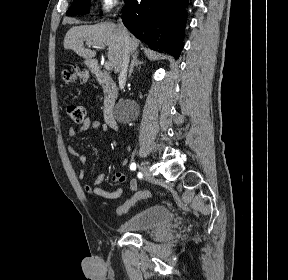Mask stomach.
I'll list each match as a JSON object with an SVG mask.
<instances>
[{"label":"stomach","instance_id":"obj_1","mask_svg":"<svg viewBox=\"0 0 288 280\" xmlns=\"http://www.w3.org/2000/svg\"><path fill=\"white\" fill-rule=\"evenodd\" d=\"M85 63H86L87 65H89V64L91 63V61H90L89 59H87V60L85 61Z\"/></svg>","mask_w":288,"mask_h":280}]
</instances>
